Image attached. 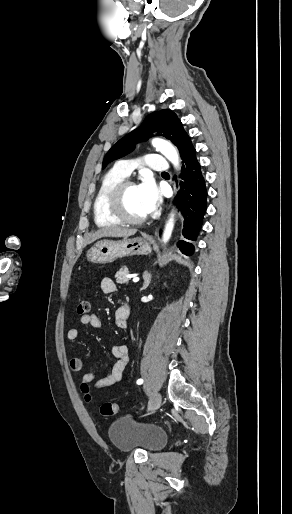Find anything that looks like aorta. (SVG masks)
<instances>
[{
	"instance_id": "obj_1",
	"label": "aorta",
	"mask_w": 292,
	"mask_h": 514,
	"mask_svg": "<svg viewBox=\"0 0 292 514\" xmlns=\"http://www.w3.org/2000/svg\"><path fill=\"white\" fill-rule=\"evenodd\" d=\"M152 146L161 152L169 162L174 164L175 168H179V156L176 148L167 142V140H159V138H155L152 140ZM173 230V216L170 218L168 224H166L165 232L163 234V242H168Z\"/></svg>"
}]
</instances>
